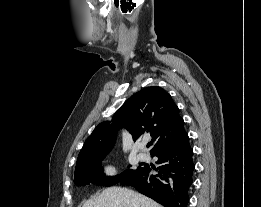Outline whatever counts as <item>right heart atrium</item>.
<instances>
[{
  "label": "right heart atrium",
  "instance_id": "d8ad5b80",
  "mask_svg": "<svg viewBox=\"0 0 261 207\" xmlns=\"http://www.w3.org/2000/svg\"><path fill=\"white\" fill-rule=\"evenodd\" d=\"M105 173L109 176L115 175L117 173V168L113 165H108L105 167Z\"/></svg>",
  "mask_w": 261,
  "mask_h": 207
}]
</instances>
